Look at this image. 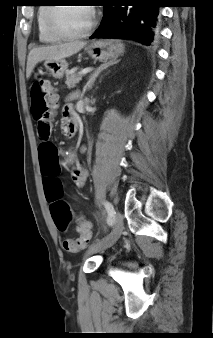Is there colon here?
Returning a JSON list of instances; mask_svg holds the SVG:
<instances>
[{
  "label": "colon",
  "mask_w": 213,
  "mask_h": 338,
  "mask_svg": "<svg viewBox=\"0 0 213 338\" xmlns=\"http://www.w3.org/2000/svg\"><path fill=\"white\" fill-rule=\"evenodd\" d=\"M57 103L55 99V91L50 82L46 79H38L31 89V112L38 123L37 134L42 140H48L51 134V125L49 122H44L43 119H49L51 114L56 110ZM41 151L49 156L53 151H56V146L53 144H43ZM61 169L59 170L60 173ZM62 202L55 204L52 207V216L59 226H64L71 217V208L69 204L62 198V193L59 195ZM77 230L80 236L76 239H65L63 247L67 252L76 253L84 249L91 238V225L86 221L78 224Z\"/></svg>",
  "instance_id": "1"
}]
</instances>
